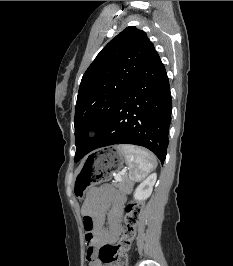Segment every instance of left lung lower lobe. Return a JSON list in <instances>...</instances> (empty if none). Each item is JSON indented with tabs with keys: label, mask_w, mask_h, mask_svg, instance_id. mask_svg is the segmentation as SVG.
<instances>
[{
	"label": "left lung lower lobe",
	"mask_w": 233,
	"mask_h": 266,
	"mask_svg": "<svg viewBox=\"0 0 233 266\" xmlns=\"http://www.w3.org/2000/svg\"><path fill=\"white\" fill-rule=\"evenodd\" d=\"M171 113L169 80L155 51L84 155L100 147L126 143L148 148L164 163Z\"/></svg>",
	"instance_id": "0a47b994"
}]
</instances>
